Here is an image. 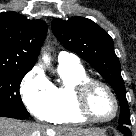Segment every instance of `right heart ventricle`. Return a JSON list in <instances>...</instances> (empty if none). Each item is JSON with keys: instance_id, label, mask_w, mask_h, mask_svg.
<instances>
[{"instance_id": "obj_1", "label": "right heart ventricle", "mask_w": 136, "mask_h": 136, "mask_svg": "<svg viewBox=\"0 0 136 136\" xmlns=\"http://www.w3.org/2000/svg\"><path fill=\"white\" fill-rule=\"evenodd\" d=\"M61 83L52 85L54 103L44 120L56 124H81L87 120L82 117L75 103L74 90L82 81L89 79L80 64H59Z\"/></svg>"}]
</instances>
